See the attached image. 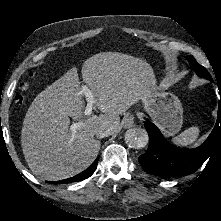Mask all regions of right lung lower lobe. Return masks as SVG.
Returning <instances> with one entry per match:
<instances>
[{
    "instance_id": "obj_1",
    "label": "right lung lower lobe",
    "mask_w": 221,
    "mask_h": 221,
    "mask_svg": "<svg viewBox=\"0 0 221 221\" xmlns=\"http://www.w3.org/2000/svg\"><path fill=\"white\" fill-rule=\"evenodd\" d=\"M98 160L99 159L97 158L86 170H84L82 173H80L74 177L60 180V181H56V182H51V183H53V184H66V183L82 181V180L90 177L93 174V172L96 170Z\"/></svg>"
}]
</instances>
